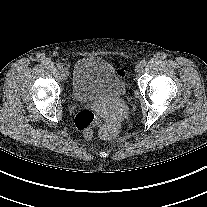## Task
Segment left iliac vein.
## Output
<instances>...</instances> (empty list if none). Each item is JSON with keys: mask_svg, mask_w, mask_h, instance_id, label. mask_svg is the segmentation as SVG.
<instances>
[{"mask_svg": "<svg viewBox=\"0 0 207 207\" xmlns=\"http://www.w3.org/2000/svg\"><path fill=\"white\" fill-rule=\"evenodd\" d=\"M141 69H142V66H141L140 63H138V64L136 65V67H135V72H136V73H140Z\"/></svg>", "mask_w": 207, "mask_h": 207, "instance_id": "4c4485c4", "label": "left iliac vein"}]
</instances>
